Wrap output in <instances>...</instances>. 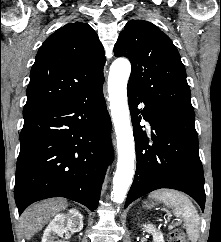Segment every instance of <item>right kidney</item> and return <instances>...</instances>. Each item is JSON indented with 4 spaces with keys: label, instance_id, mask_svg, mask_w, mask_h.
Here are the masks:
<instances>
[{
    "label": "right kidney",
    "instance_id": "1",
    "mask_svg": "<svg viewBox=\"0 0 221 242\" xmlns=\"http://www.w3.org/2000/svg\"><path fill=\"white\" fill-rule=\"evenodd\" d=\"M83 229V216L77 209H70L66 214H57L46 227L41 242H62L55 241L62 237L67 231L79 232ZM64 242V241H63Z\"/></svg>",
    "mask_w": 221,
    "mask_h": 242
}]
</instances>
